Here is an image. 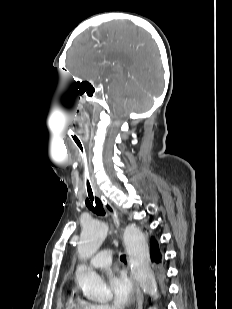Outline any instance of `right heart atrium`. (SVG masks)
<instances>
[{
	"mask_svg": "<svg viewBox=\"0 0 232 309\" xmlns=\"http://www.w3.org/2000/svg\"><path fill=\"white\" fill-rule=\"evenodd\" d=\"M95 309H113L110 305L108 304H94Z\"/></svg>",
	"mask_w": 232,
	"mask_h": 309,
	"instance_id": "right-heart-atrium-1",
	"label": "right heart atrium"
}]
</instances>
